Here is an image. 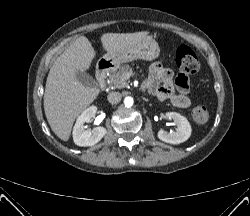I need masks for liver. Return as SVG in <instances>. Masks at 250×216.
Returning <instances> with one entry per match:
<instances>
[{"instance_id":"1","label":"liver","mask_w":250,"mask_h":216,"mask_svg":"<svg viewBox=\"0 0 250 216\" xmlns=\"http://www.w3.org/2000/svg\"><path fill=\"white\" fill-rule=\"evenodd\" d=\"M149 32L106 33L100 38L103 49L117 51L141 41ZM85 36L77 38L52 65L45 87L44 111L52 131L63 141L69 139L77 116L99 95L96 87L84 86L77 75L85 73L95 58Z\"/></svg>"}]
</instances>
